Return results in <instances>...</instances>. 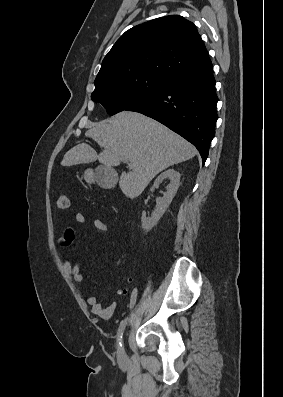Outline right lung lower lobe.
Masks as SVG:
<instances>
[{
    "mask_svg": "<svg viewBox=\"0 0 283 397\" xmlns=\"http://www.w3.org/2000/svg\"><path fill=\"white\" fill-rule=\"evenodd\" d=\"M217 101L210 62L174 75L126 110L149 116L184 137L198 149L204 164L215 136Z\"/></svg>",
    "mask_w": 283,
    "mask_h": 397,
    "instance_id": "right-lung-lower-lobe-1",
    "label": "right lung lower lobe"
}]
</instances>
